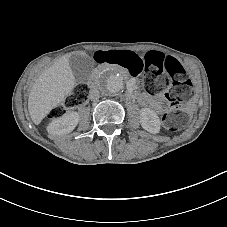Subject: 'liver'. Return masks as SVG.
I'll use <instances>...</instances> for the list:
<instances>
[{
	"label": "liver",
	"instance_id": "1",
	"mask_svg": "<svg viewBox=\"0 0 227 227\" xmlns=\"http://www.w3.org/2000/svg\"><path fill=\"white\" fill-rule=\"evenodd\" d=\"M73 54L87 55L85 52H72L62 56L42 72L32 85L28 111L35 125H39L52 109L64 103L73 90L76 82L70 66V57Z\"/></svg>",
	"mask_w": 227,
	"mask_h": 227
}]
</instances>
